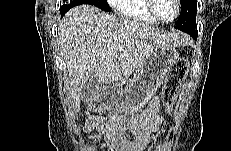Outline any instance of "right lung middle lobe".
<instances>
[{
  "instance_id": "1",
  "label": "right lung middle lobe",
  "mask_w": 231,
  "mask_h": 151,
  "mask_svg": "<svg viewBox=\"0 0 231 151\" xmlns=\"http://www.w3.org/2000/svg\"><path fill=\"white\" fill-rule=\"evenodd\" d=\"M64 2H65V4L62 6L68 5L70 2H76V4L72 5L71 7H74V6H77L80 4H89V5H94V6L100 8L101 10H104L106 12L111 11L106 0H74V1H64Z\"/></svg>"
}]
</instances>
